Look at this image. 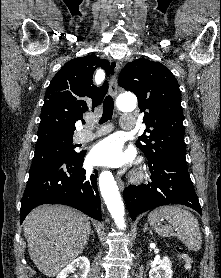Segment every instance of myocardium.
I'll return each instance as SVG.
<instances>
[{"mask_svg":"<svg viewBox=\"0 0 221 278\" xmlns=\"http://www.w3.org/2000/svg\"><path fill=\"white\" fill-rule=\"evenodd\" d=\"M145 178V174L143 171H137L134 175H133V180L135 182H140Z\"/></svg>","mask_w":221,"mask_h":278,"instance_id":"1","label":"myocardium"}]
</instances>
